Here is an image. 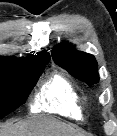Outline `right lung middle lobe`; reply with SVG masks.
<instances>
[{"instance_id":"obj_1","label":"right lung middle lobe","mask_w":117,"mask_h":136,"mask_svg":"<svg viewBox=\"0 0 117 136\" xmlns=\"http://www.w3.org/2000/svg\"><path fill=\"white\" fill-rule=\"evenodd\" d=\"M49 59L29 65L0 63V119L23 105Z\"/></svg>"}]
</instances>
